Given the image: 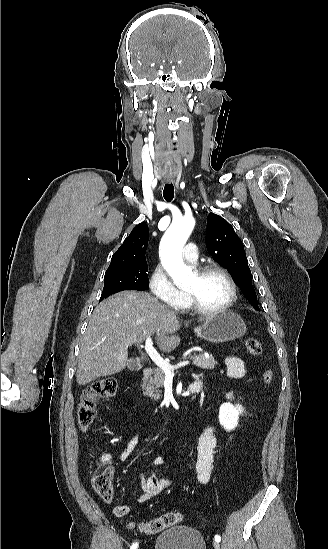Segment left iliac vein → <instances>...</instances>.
<instances>
[{
    "mask_svg": "<svg viewBox=\"0 0 328 549\" xmlns=\"http://www.w3.org/2000/svg\"><path fill=\"white\" fill-rule=\"evenodd\" d=\"M213 547H214V549H220V544H219V542L214 541V542H213Z\"/></svg>",
    "mask_w": 328,
    "mask_h": 549,
    "instance_id": "4c4485c4",
    "label": "left iliac vein"
}]
</instances>
